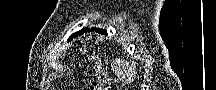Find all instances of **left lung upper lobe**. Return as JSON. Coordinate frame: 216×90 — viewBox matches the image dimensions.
<instances>
[{"instance_id": "obj_1", "label": "left lung upper lobe", "mask_w": 216, "mask_h": 90, "mask_svg": "<svg viewBox=\"0 0 216 90\" xmlns=\"http://www.w3.org/2000/svg\"><path fill=\"white\" fill-rule=\"evenodd\" d=\"M85 29H86V28L82 29V30L79 31V32H76L74 35H72V36L69 38V40H71L73 37H75L76 35H78L80 32L84 31Z\"/></svg>"}]
</instances>
